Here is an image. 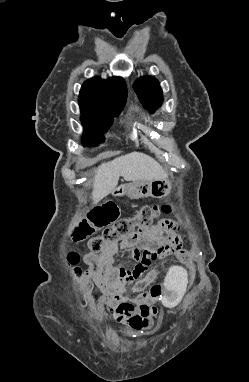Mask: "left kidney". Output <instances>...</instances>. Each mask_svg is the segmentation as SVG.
<instances>
[{
    "label": "left kidney",
    "mask_w": 249,
    "mask_h": 382,
    "mask_svg": "<svg viewBox=\"0 0 249 382\" xmlns=\"http://www.w3.org/2000/svg\"><path fill=\"white\" fill-rule=\"evenodd\" d=\"M176 263L161 277V282L165 286V295H162L160 304L163 309H176L179 302L186 297L187 287L190 277Z\"/></svg>",
    "instance_id": "1"
}]
</instances>
